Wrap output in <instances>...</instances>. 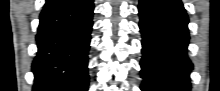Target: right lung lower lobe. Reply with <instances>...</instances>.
Returning <instances> with one entry per match:
<instances>
[{"mask_svg": "<svg viewBox=\"0 0 220 91\" xmlns=\"http://www.w3.org/2000/svg\"><path fill=\"white\" fill-rule=\"evenodd\" d=\"M93 0H47L36 35L33 90L87 91Z\"/></svg>", "mask_w": 220, "mask_h": 91, "instance_id": "98d812e1", "label": "right lung lower lobe"}]
</instances>
